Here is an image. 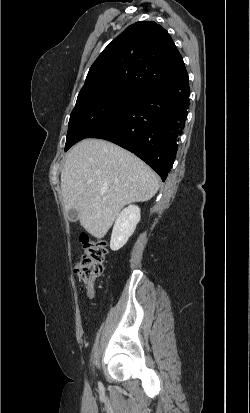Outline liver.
I'll return each mask as SVG.
<instances>
[{"mask_svg": "<svg viewBox=\"0 0 250 413\" xmlns=\"http://www.w3.org/2000/svg\"><path fill=\"white\" fill-rule=\"evenodd\" d=\"M158 189L159 179L147 164L100 139L76 144L61 171L65 212L77 210L80 225L96 238L106 235L125 205L148 201Z\"/></svg>", "mask_w": 250, "mask_h": 413, "instance_id": "6515ba94", "label": "liver"}]
</instances>
